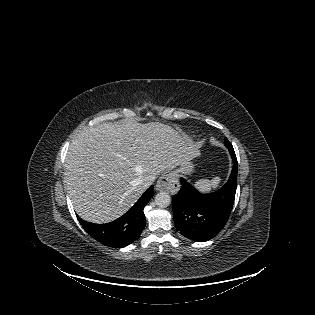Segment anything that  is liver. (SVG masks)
<instances>
[{"label": "liver", "instance_id": "1", "mask_svg": "<svg viewBox=\"0 0 315 315\" xmlns=\"http://www.w3.org/2000/svg\"><path fill=\"white\" fill-rule=\"evenodd\" d=\"M198 154L188 135L159 122H106L70 143L64 185L84 220L107 223L143 194L142 183L189 163Z\"/></svg>", "mask_w": 315, "mask_h": 315}]
</instances>
